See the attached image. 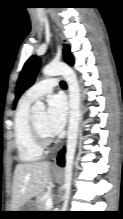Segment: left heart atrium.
Instances as JSON below:
<instances>
[{
	"label": "left heart atrium",
	"mask_w": 123,
	"mask_h": 219,
	"mask_svg": "<svg viewBox=\"0 0 123 219\" xmlns=\"http://www.w3.org/2000/svg\"><path fill=\"white\" fill-rule=\"evenodd\" d=\"M46 125L51 135H56L63 129L67 117V104L62 95L55 94L48 98Z\"/></svg>",
	"instance_id": "left-heart-atrium-1"
}]
</instances>
